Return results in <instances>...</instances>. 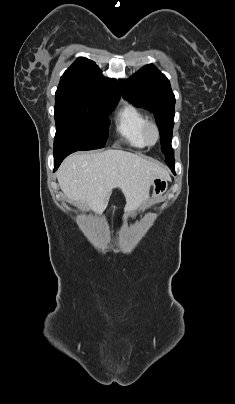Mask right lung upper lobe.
<instances>
[{"label":"right lung upper lobe","mask_w":235,"mask_h":404,"mask_svg":"<svg viewBox=\"0 0 235 404\" xmlns=\"http://www.w3.org/2000/svg\"><path fill=\"white\" fill-rule=\"evenodd\" d=\"M56 95L117 102L120 90L117 81L103 77L93 61L79 57L62 75Z\"/></svg>","instance_id":"obj_1"}]
</instances>
